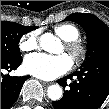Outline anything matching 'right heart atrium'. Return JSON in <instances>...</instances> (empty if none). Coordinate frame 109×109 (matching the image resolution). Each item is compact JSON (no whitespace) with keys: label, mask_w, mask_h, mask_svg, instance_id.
Segmentation results:
<instances>
[{"label":"right heart atrium","mask_w":109,"mask_h":109,"mask_svg":"<svg viewBox=\"0 0 109 109\" xmlns=\"http://www.w3.org/2000/svg\"><path fill=\"white\" fill-rule=\"evenodd\" d=\"M39 37L35 33H28L23 35L19 41V49L23 52L32 51L37 48Z\"/></svg>","instance_id":"right-heart-atrium-1"}]
</instances>
